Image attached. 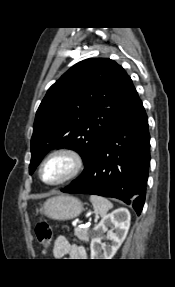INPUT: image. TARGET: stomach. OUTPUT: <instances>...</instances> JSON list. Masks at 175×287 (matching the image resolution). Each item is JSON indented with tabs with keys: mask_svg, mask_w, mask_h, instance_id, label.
I'll list each match as a JSON object with an SVG mask.
<instances>
[{
	"mask_svg": "<svg viewBox=\"0 0 175 287\" xmlns=\"http://www.w3.org/2000/svg\"><path fill=\"white\" fill-rule=\"evenodd\" d=\"M82 210L83 205L78 198L59 195L49 198L39 212L53 220L65 221L76 218Z\"/></svg>",
	"mask_w": 175,
	"mask_h": 287,
	"instance_id": "1",
	"label": "stomach"
}]
</instances>
